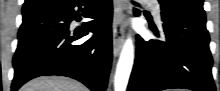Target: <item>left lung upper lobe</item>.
Returning a JSON list of instances; mask_svg holds the SVG:
<instances>
[{"mask_svg":"<svg viewBox=\"0 0 220 91\" xmlns=\"http://www.w3.org/2000/svg\"><path fill=\"white\" fill-rule=\"evenodd\" d=\"M159 3L189 14L205 17L203 0H159Z\"/></svg>","mask_w":220,"mask_h":91,"instance_id":"1","label":"left lung upper lobe"}]
</instances>
